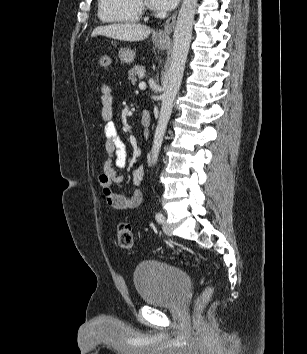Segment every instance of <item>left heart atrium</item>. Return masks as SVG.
<instances>
[{
	"label": "left heart atrium",
	"instance_id": "1",
	"mask_svg": "<svg viewBox=\"0 0 307 354\" xmlns=\"http://www.w3.org/2000/svg\"><path fill=\"white\" fill-rule=\"evenodd\" d=\"M178 0H148L150 6L156 10L168 11L172 9Z\"/></svg>",
	"mask_w": 307,
	"mask_h": 354
}]
</instances>
